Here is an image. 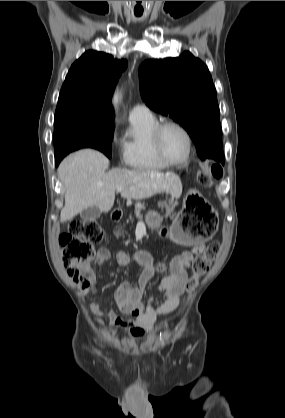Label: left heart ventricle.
<instances>
[{"label":"left heart ventricle","mask_w":285,"mask_h":418,"mask_svg":"<svg viewBox=\"0 0 285 418\" xmlns=\"http://www.w3.org/2000/svg\"><path fill=\"white\" fill-rule=\"evenodd\" d=\"M161 144L171 161H181L187 152L185 135L176 127H167L161 135Z\"/></svg>","instance_id":"left-heart-ventricle-1"}]
</instances>
